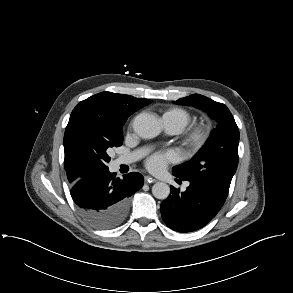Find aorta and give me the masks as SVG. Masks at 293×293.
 I'll list each match as a JSON object with an SVG mask.
<instances>
[{
	"mask_svg": "<svg viewBox=\"0 0 293 293\" xmlns=\"http://www.w3.org/2000/svg\"><path fill=\"white\" fill-rule=\"evenodd\" d=\"M134 131L144 139H152L161 132V126L158 120L148 114H139L133 121ZM152 194L155 198L164 200L170 194V187L164 182H156L152 187Z\"/></svg>",
	"mask_w": 293,
	"mask_h": 293,
	"instance_id": "1",
	"label": "aorta"
}]
</instances>
